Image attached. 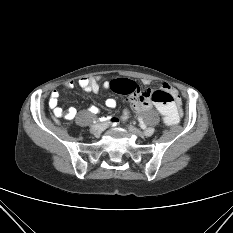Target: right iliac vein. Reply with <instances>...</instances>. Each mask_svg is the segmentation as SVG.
<instances>
[{"mask_svg":"<svg viewBox=\"0 0 233 233\" xmlns=\"http://www.w3.org/2000/svg\"><path fill=\"white\" fill-rule=\"evenodd\" d=\"M107 126V125H106ZM106 126H102V128H91L90 129V132L96 136V137H99L101 132L105 129Z\"/></svg>","mask_w":233,"mask_h":233,"instance_id":"obj_1","label":"right iliac vein"}]
</instances>
